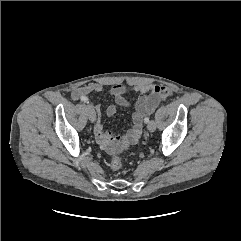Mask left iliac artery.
<instances>
[{"instance_id":"obj_1","label":"left iliac artery","mask_w":241,"mask_h":241,"mask_svg":"<svg viewBox=\"0 0 241 241\" xmlns=\"http://www.w3.org/2000/svg\"><path fill=\"white\" fill-rule=\"evenodd\" d=\"M144 121H145V123H148V122H149V118L146 117V118L144 119Z\"/></svg>"}]
</instances>
